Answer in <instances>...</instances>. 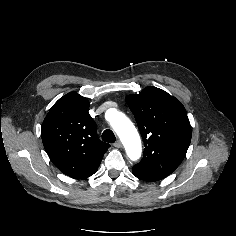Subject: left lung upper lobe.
<instances>
[{"label":"left lung upper lobe","instance_id":"left-lung-upper-lobe-1","mask_svg":"<svg viewBox=\"0 0 236 236\" xmlns=\"http://www.w3.org/2000/svg\"><path fill=\"white\" fill-rule=\"evenodd\" d=\"M141 132L145 149L137 165L167 177L184 159L191 141V126L184 106L159 88L146 87L126 97Z\"/></svg>","mask_w":236,"mask_h":236}]
</instances>
